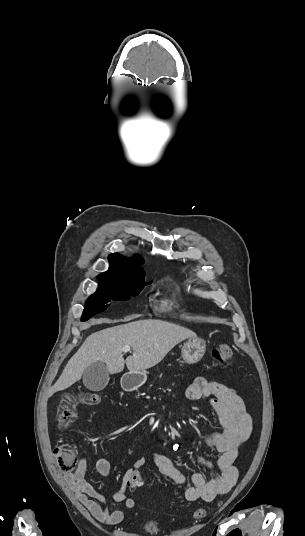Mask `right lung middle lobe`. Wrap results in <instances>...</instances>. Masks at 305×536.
Returning <instances> with one entry per match:
<instances>
[{
    "label": "right lung middle lobe",
    "instance_id": "right-lung-middle-lobe-1",
    "mask_svg": "<svg viewBox=\"0 0 305 536\" xmlns=\"http://www.w3.org/2000/svg\"><path fill=\"white\" fill-rule=\"evenodd\" d=\"M98 281L97 291L87 299L81 321H86L95 314L106 310L110 301L128 300L131 296L138 295L144 285V279Z\"/></svg>",
    "mask_w": 305,
    "mask_h": 536
}]
</instances>
